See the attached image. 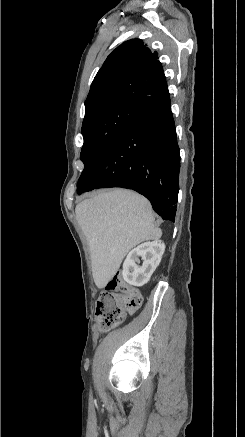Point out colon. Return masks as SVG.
Instances as JSON below:
<instances>
[{
    "mask_svg": "<svg viewBox=\"0 0 245 437\" xmlns=\"http://www.w3.org/2000/svg\"><path fill=\"white\" fill-rule=\"evenodd\" d=\"M140 292L116 274L106 285L96 302L95 314L103 330L121 324L126 314L136 312L142 305Z\"/></svg>",
    "mask_w": 245,
    "mask_h": 437,
    "instance_id": "obj_1",
    "label": "colon"
}]
</instances>
